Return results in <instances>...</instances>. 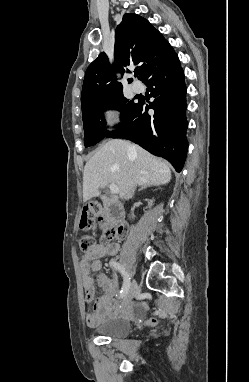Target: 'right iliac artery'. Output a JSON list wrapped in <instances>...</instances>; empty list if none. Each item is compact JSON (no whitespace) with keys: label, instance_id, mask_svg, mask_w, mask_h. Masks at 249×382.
I'll list each match as a JSON object with an SVG mask.
<instances>
[{"label":"right iliac artery","instance_id":"right-iliac-artery-1","mask_svg":"<svg viewBox=\"0 0 249 382\" xmlns=\"http://www.w3.org/2000/svg\"><path fill=\"white\" fill-rule=\"evenodd\" d=\"M110 265L112 267H114L115 269L119 270L121 272V274L123 275V285H122V289L120 291V297H124L127 294L129 287H130V278L127 275L123 266L120 265L118 262L111 260Z\"/></svg>","mask_w":249,"mask_h":382}]
</instances>
